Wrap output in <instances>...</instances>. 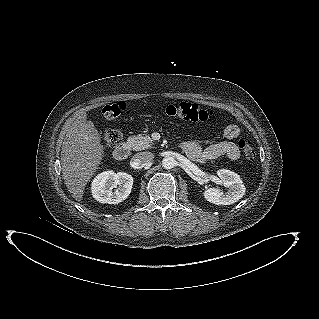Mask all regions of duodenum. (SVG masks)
<instances>
[{
  "label": "duodenum",
  "instance_id": "1",
  "mask_svg": "<svg viewBox=\"0 0 319 319\" xmlns=\"http://www.w3.org/2000/svg\"><path fill=\"white\" fill-rule=\"evenodd\" d=\"M130 153V146L128 143L123 142L119 144L115 149H114V157L117 160H124L129 156Z\"/></svg>",
  "mask_w": 319,
  "mask_h": 319
}]
</instances>
